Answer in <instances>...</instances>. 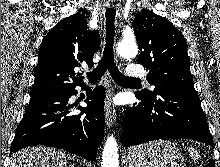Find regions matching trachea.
I'll return each instance as SVG.
<instances>
[{"label": "trachea", "instance_id": "trachea-1", "mask_svg": "<svg viewBox=\"0 0 220 167\" xmlns=\"http://www.w3.org/2000/svg\"><path fill=\"white\" fill-rule=\"evenodd\" d=\"M106 16V38L103 56L99 61L97 67L90 73L87 74V78L90 82H96L99 80L104 73L108 70L115 80L119 84H130L133 82L140 81L138 78L127 77L122 74L114 62V37H115V16L116 11L114 9H107L105 12Z\"/></svg>", "mask_w": 220, "mask_h": 167}]
</instances>
